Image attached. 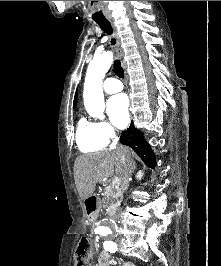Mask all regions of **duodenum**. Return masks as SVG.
Returning <instances> with one entry per match:
<instances>
[{"label": "duodenum", "mask_w": 221, "mask_h": 266, "mask_svg": "<svg viewBox=\"0 0 221 266\" xmlns=\"http://www.w3.org/2000/svg\"><path fill=\"white\" fill-rule=\"evenodd\" d=\"M100 191H93V194H88L85 200L86 209L88 213V217L90 219L95 218V210H100L101 201H100ZM115 211H107V216H113Z\"/></svg>", "instance_id": "obj_1"}]
</instances>
